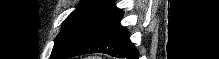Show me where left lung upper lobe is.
Instances as JSON below:
<instances>
[{
	"label": "left lung upper lobe",
	"instance_id": "1",
	"mask_svg": "<svg viewBox=\"0 0 219 59\" xmlns=\"http://www.w3.org/2000/svg\"><path fill=\"white\" fill-rule=\"evenodd\" d=\"M110 0H85L63 22L50 59H66L93 31Z\"/></svg>",
	"mask_w": 219,
	"mask_h": 59
}]
</instances>
